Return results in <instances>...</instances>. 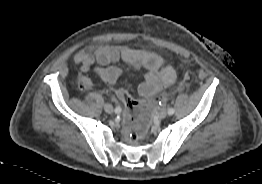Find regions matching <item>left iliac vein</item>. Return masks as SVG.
Segmentation results:
<instances>
[{
    "label": "left iliac vein",
    "mask_w": 262,
    "mask_h": 184,
    "mask_svg": "<svg viewBox=\"0 0 262 184\" xmlns=\"http://www.w3.org/2000/svg\"><path fill=\"white\" fill-rule=\"evenodd\" d=\"M167 114H168L167 110L166 109H162L159 112V118L163 119V118H165L167 116Z\"/></svg>",
    "instance_id": "1"
}]
</instances>
